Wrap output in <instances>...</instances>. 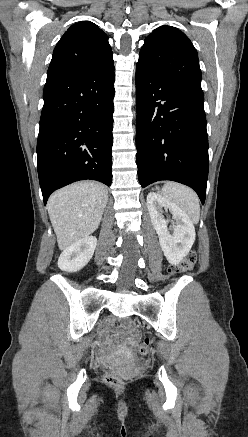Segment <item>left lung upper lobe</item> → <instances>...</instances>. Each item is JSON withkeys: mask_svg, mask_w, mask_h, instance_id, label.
Instances as JSON below:
<instances>
[{"mask_svg": "<svg viewBox=\"0 0 248 437\" xmlns=\"http://www.w3.org/2000/svg\"><path fill=\"white\" fill-rule=\"evenodd\" d=\"M136 66L150 75L201 89L197 51L175 27L164 25L155 29L145 39Z\"/></svg>", "mask_w": 248, "mask_h": 437, "instance_id": "1", "label": "left lung upper lobe"}]
</instances>
